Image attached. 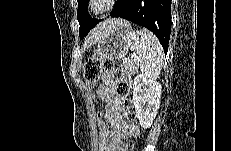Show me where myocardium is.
<instances>
[{
  "instance_id": "1",
  "label": "myocardium",
  "mask_w": 231,
  "mask_h": 151,
  "mask_svg": "<svg viewBox=\"0 0 231 151\" xmlns=\"http://www.w3.org/2000/svg\"><path fill=\"white\" fill-rule=\"evenodd\" d=\"M115 2L114 0H91L88 2L87 12L92 16L102 15L108 12Z\"/></svg>"
}]
</instances>
